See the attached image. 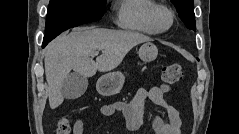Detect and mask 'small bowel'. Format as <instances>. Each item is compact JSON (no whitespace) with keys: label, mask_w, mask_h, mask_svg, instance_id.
<instances>
[{"label":"small bowel","mask_w":239,"mask_h":134,"mask_svg":"<svg viewBox=\"0 0 239 134\" xmlns=\"http://www.w3.org/2000/svg\"><path fill=\"white\" fill-rule=\"evenodd\" d=\"M150 100L162 106L166 111V119L153 116L151 124L155 134H180L181 119L178 110L165 99V92L162 88L154 86L150 89H139L129 102L116 101L101 106L100 111L105 116L117 113L123 114L127 128L130 131H140L145 127L144 114L145 102ZM84 121L76 120L73 127V134H83Z\"/></svg>","instance_id":"c3829d8e"}]
</instances>
